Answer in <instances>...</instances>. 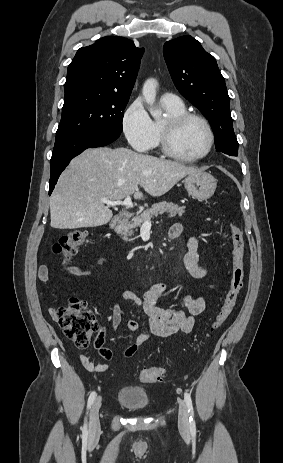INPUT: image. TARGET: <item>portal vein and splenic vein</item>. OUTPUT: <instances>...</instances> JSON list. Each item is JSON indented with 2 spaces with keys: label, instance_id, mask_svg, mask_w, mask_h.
I'll list each match as a JSON object with an SVG mask.
<instances>
[{
  "label": "portal vein and splenic vein",
  "instance_id": "1",
  "mask_svg": "<svg viewBox=\"0 0 283 463\" xmlns=\"http://www.w3.org/2000/svg\"><path fill=\"white\" fill-rule=\"evenodd\" d=\"M102 202L105 203L107 206L123 205V206H126L127 208H133V203H132L130 196H127L124 200H115V201L102 199ZM144 224L151 225V221L147 220Z\"/></svg>",
  "mask_w": 283,
  "mask_h": 463
}]
</instances>
